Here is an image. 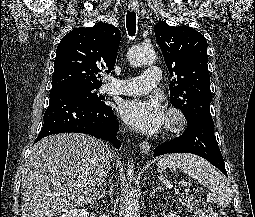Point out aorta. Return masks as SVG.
<instances>
[{"label":"aorta","mask_w":255,"mask_h":217,"mask_svg":"<svg viewBox=\"0 0 255 217\" xmlns=\"http://www.w3.org/2000/svg\"><path fill=\"white\" fill-rule=\"evenodd\" d=\"M127 58L132 66L149 65L155 62L156 53L152 48L135 46L129 49ZM134 179V163L130 159L127 165L126 195L123 201L124 217H140L139 202L136 197V189L132 187Z\"/></svg>","instance_id":"762f6f07"}]
</instances>
